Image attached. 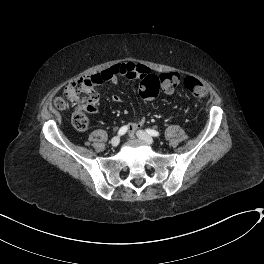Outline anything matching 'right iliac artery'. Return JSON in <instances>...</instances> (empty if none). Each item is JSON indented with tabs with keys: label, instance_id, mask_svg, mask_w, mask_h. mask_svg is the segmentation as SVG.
Wrapping results in <instances>:
<instances>
[{
	"label": "right iliac artery",
	"instance_id": "1",
	"mask_svg": "<svg viewBox=\"0 0 264 264\" xmlns=\"http://www.w3.org/2000/svg\"><path fill=\"white\" fill-rule=\"evenodd\" d=\"M128 130V126H122L119 131H118V134L119 135H124Z\"/></svg>",
	"mask_w": 264,
	"mask_h": 264
}]
</instances>
